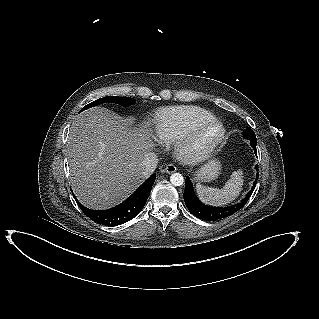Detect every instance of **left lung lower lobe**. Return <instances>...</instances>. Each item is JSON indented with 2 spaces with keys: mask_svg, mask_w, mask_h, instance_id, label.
Listing matches in <instances>:
<instances>
[{
  "mask_svg": "<svg viewBox=\"0 0 319 319\" xmlns=\"http://www.w3.org/2000/svg\"><path fill=\"white\" fill-rule=\"evenodd\" d=\"M252 147L256 151V144H251ZM258 168V166H257ZM258 170V169H257ZM259 173L257 172V177L255 182L253 183V186L251 190L247 193L246 197L239 202L238 204H235L230 207H211L203 204L196 196L193 191L192 183L189 180L188 177H186L185 181V190H184V202L188 208V210L196 217L205 220V221H214V220H220L222 218L228 217L237 211H239L249 200L251 194L253 193V190L256 186V182L258 179Z\"/></svg>",
  "mask_w": 319,
  "mask_h": 319,
  "instance_id": "obj_1",
  "label": "left lung lower lobe"
}]
</instances>
